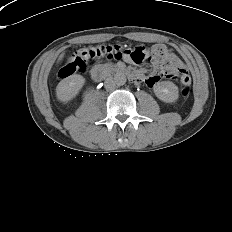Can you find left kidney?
Masks as SVG:
<instances>
[{
  "mask_svg": "<svg viewBox=\"0 0 232 232\" xmlns=\"http://www.w3.org/2000/svg\"><path fill=\"white\" fill-rule=\"evenodd\" d=\"M153 91L158 99L166 103H173L179 98L178 87L170 81L156 83Z\"/></svg>",
  "mask_w": 232,
  "mask_h": 232,
  "instance_id": "left-kidney-1",
  "label": "left kidney"
}]
</instances>
